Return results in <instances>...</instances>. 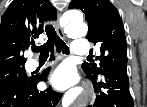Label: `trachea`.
Instances as JSON below:
<instances>
[{"label": "trachea", "mask_w": 147, "mask_h": 107, "mask_svg": "<svg viewBox=\"0 0 147 107\" xmlns=\"http://www.w3.org/2000/svg\"><path fill=\"white\" fill-rule=\"evenodd\" d=\"M46 35L48 37L46 43L43 45L37 47L32 46L33 51L39 50L40 57H48L49 52L53 49L54 45L56 46L57 51H62L63 54H69V48L66 45V43L60 39L56 32L54 27L51 24H48L45 28Z\"/></svg>", "instance_id": "3493384b"}]
</instances>
